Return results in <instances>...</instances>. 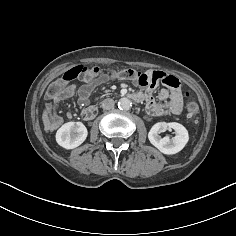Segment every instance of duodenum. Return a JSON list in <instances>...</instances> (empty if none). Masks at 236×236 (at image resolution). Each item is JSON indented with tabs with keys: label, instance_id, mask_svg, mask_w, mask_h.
<instances>
[{
	"label": "duodenum",
	"instance_id": "obj_1",
	"mask_svg": "<svg viewBox=\"0 0 236 236\" xmlns=\"http://www.w3.org/2000/svg\"><path fill=\"white\" fill-rule=\"evenodd\" d=\"M131 98L135 101V102H140L141 99L135 95H132ZM97 114V108L95 106H89L86 109L83 110L82 112V117L84 119L90 120L92 118H94V116Z\"/></svg>",
	"mask_w": 236,
	"mask_h": 236
}]
</instances>
